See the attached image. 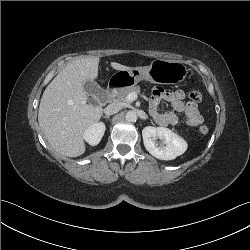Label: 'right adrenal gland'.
<instances>
[{
  "label": "right adrenal gland",
  "mask_w": 250,
  "mask_h": 250,
  "mask_svg": "<svg viewBox=\"0 0 250 250\" xmlns=\"http://www.w3.org/2000/svg\"><path fill=\"white\" fill-rule=\"evenodd\" d=\"M103 118L109 119L110 115H105V116H103Z\"/></svg>",
  "instance_id": "1"
}]
</instances>
